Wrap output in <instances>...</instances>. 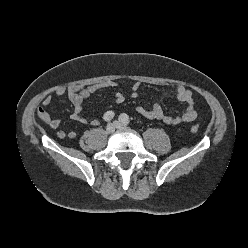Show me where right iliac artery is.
<instances>
[{
    "mask_svg": "<svg viewBox=\"0 0 248 248\" xmlns=\"http://www.w3.org/2000/svg\"><path fill=\"white\" fill-rule=\"evenodd\" d=\"M114 115H115V114H114L113 111H107V112L104 114L103 119H104L105 121H110V120L113 119Z\"/></svg>",
    "mask_w": 248,
    "mask_h": 248,
    "instance_id": "obj_1",
    "label": "right iliac artery"
}]
</instances>
